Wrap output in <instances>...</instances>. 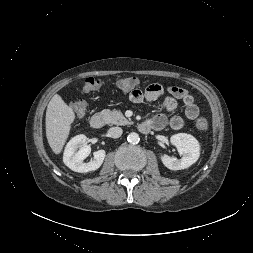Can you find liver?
Returning <instances> with one entry per match:
<instances>
[{"instance_id":"1","label":"liver","mask_w":253,"mask_h":253,"mask_svg":"<svg viewBox=\"0 0 253 253\" xmlns=\"http://www.w3.org/2000/svg\"><path fill=\"white\" fill-rule=\"evenodd\" d=\"M75 119L73 109L60 95L55 94L46 110V137L55 154H60L69 136L71 124Z\"/></svg>"}]
</instances>
